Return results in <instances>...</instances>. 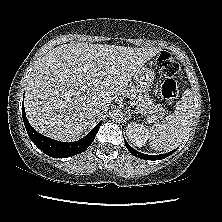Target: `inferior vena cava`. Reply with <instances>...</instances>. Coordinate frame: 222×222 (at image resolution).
<instances>
[{"label":"inferior vena cava","mask_w":222,"mask_h":222,"mask_svg":"<svg viewBox=\"0 0 222 222\" xmlns=\"http://www.w3.org/2000/svg\"><path fill=\"white\" fill-rule=\"evenodd\" d=\"M107 110V105L105 103H99L95 105L93 109H91L90 113L92 116H97L105 113Z\"/></svg>","instance_id":"obj_1"}]
</instances>
